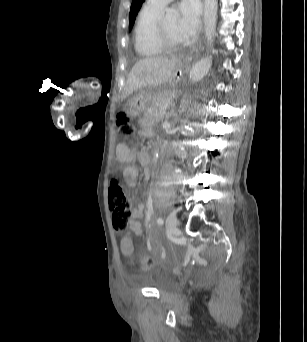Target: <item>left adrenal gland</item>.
<instances>
[{"mask_svg": "<svg viewBox=\"0 0 307 342\" xmlns=\"http://www.w3.org/2000/svg\"><path fill=\"white\" fill-rule=\"evenodd\" d=\"M174 108H175V106H174V104H172V106H171V114H173Z\"/></svg>", "mask_w": 307, "mask_h": 342, "instance_id": "a2214340", "label": "left adrenal gland"}]
</instances>
